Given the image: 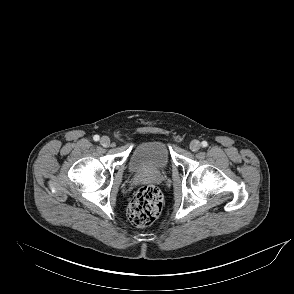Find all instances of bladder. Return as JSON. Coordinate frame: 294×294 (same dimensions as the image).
<instances>
[{"label":"bladder","instance_id":"bladder-1","mask_svg":"<svg viewBox=\"0 0 294 294\" xmlns=\"http://www.w3.org/2000/svg\"><path fill=\"white\" fill-rule=\"evenodd\" d=\"M171 162L167 145L161 140H148L135 146L130 158V169L140 174L146 172H162Z\"/></svg>","mask_w":294,"mask_h":294}]
</instances>
